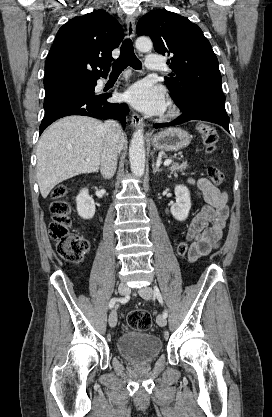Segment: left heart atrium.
Masks as SVG:
<instances>
[{"label": "left heart atrium", "mask_w": 272, "mask_h": 417, "mask_svg": "<svg viewBox=\"0 0 272 417\" xmlns=\"http://www.w3.org/2000/svg\"><path fill=\"white\" fill-rule=\"evenodd\" d=\"M123 98L134 108L147 114H159L166 107L164 90L146 80L130 86L125 91Z\"/></svg>", "instance_id": "1"}]
</instances>
